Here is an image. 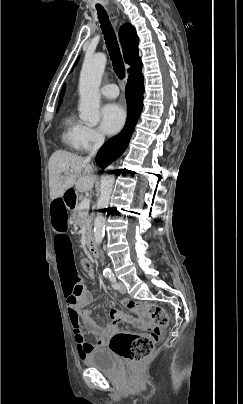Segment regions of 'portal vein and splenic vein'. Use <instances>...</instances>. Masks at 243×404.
<instances>
[{
  "label": "portal vein and splenic vein",
  "instance_id": "portal-vein-and-splenic-vein-1",
  "mask_svg": "<svg viewBox=\"0 0 243 404\" xmlns=\"http://www.w3.org/2000/svg\"><path fill=\"white\" fill-rule=\"evenodd\" d=\"M71 172H72V170H71ZM89 204H90V200H87V198H84V200H82V202L80 204V212H79L80 216H83L84 218L88 217Z\"/></svg>",
  "mask_w": 243,
  "mask_h": 404
}]
</instances>
